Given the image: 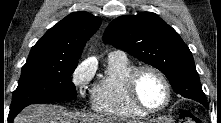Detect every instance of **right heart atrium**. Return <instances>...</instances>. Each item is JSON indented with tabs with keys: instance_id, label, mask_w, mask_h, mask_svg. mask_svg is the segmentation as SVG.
<instances>
[{
	"instance_id": "d8ad5b80",
	"label": "right heart atrium",
	"mask_w": 221,
	"mask_h": 123,
	"mask_svg": "<svg viewBox=\"0 0 221 123\" xmlns=\"http://www.w3.org/2000/svg\"><path fill=\"white\" fill-rule=\"evenodd\" d=\"M92 69L86 63H80L72 73L73 84L79 88H85L92 78Z\"/></svg>"
}]
</instances>
